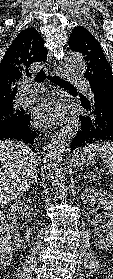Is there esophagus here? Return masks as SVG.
Returning <instances> with one entry per match:
<instances>
[{
	"label": "esophagus",
	"mask_w": 113,
	"mask_h": 279,
	"mask_svg": "<svg viewBox=\"0 0 113 279\" xmlns=\"http://www.w3.org/2000/svg\"><path fill=\"white\" fill-rule=\"evenodd\" d=\"M53 70L57 76H61V77L66 76V75H64L62 68L59 66H56L55 64H54ZM73 119H74V117L72 115H67L66 117L61 119V122L59 125L70 123V122H72Z\"/></svg>",
	"instance_id": "34e87169"
}]
</instances>
